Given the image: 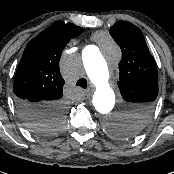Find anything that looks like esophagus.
<instances>
[{
	"instance_id": "obj_1",
	"label": "esophagus",
	"mask_w": 174,
	"mask_h": 174,
	"mask_svg": "<svg viewBox=\"0 0 174 174\" xmlns=\"http://www.w3.org/2000/svg\"><path fill=\"white\" fill-rule=\"evenodd\" d=\"M85 95H86L87 98L90 97L91 91L90 90H87L86 93H85Z\"/></svg>"
}]
</instances>
